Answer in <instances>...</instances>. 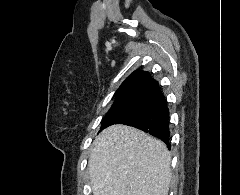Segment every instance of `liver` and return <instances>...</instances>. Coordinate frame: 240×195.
I'll return each instance as SVG.
<instances>
[{"label": "liver", "mask_w": 240, "mask_h": 195, "mask_svg": "<svg viewBox=\"0 0 240 195\" xmlns=\"http://www.w3.org/2000/svg\"><path fill=\"white\" fill-rule=\"evenodd\" d=\"M171 153L129 125H110L93 141L88 171L93 195H168Z\"/></svg>", "instance_id": "liver-1"}]
</instances>
